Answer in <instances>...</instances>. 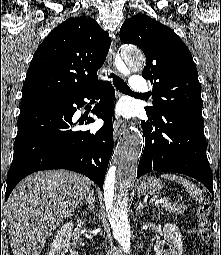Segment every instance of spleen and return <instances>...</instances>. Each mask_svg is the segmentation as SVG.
<instances>
[{"label": "spleen", "instance_id": "spleen-1", "mask_svg": "<svg viewBox=\"0 0 221 255\" xmlns=\"http://www.w3.org/2000/svg\"><path fill=\"white\" fill-rule=\"evenodd\" d=\"M162 177L171 180V181H175L178 182L180 184H182L184 186V188L186 189V191L198 202H202L204 200V196L202 194V190L199 189L197 186H195L194 184H192L191 182H189L188 180H186L183 177H179L175 174H163Z\"/></svg>", "mask_w": 221, "mask_h": 255}]
</instances>
